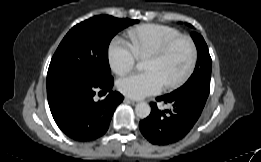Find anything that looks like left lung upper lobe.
<instances>
[{
	"instance_id": "5c2ea615",
	"label": "left lung upper lobe",
	"mask_w": 261,
	"mask_h": 162,
	"mask_svg": "<svg viewBox=\"0 0 261 162\" xmlns=\"http://www.w3.org/2000/svg\"><path fill=\"white\" fill-rule=\"evenodd\" d=\"M198 52L197 64L193 74L187 82L175 91L198 90L206 95L210 92L211 57L203 37L198 33H191ZM174 91V92H175Z\"/></svg>"
}]
</instances>
